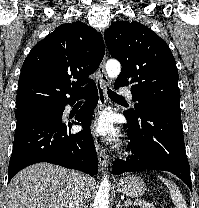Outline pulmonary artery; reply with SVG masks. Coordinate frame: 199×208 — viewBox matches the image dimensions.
<instances>
[{
	"label": "pulmonary artery",
	"mask_w": 199,
	"mask_h": 208,
	"mask_svg": "<svg viewBox=\"0 0 199 208\" xmlns=\"http://www.w3.org/2000/svg\"><path fill=\"white\" fill-rule=\"evenodd\" d=\"M119 92H120V94L122 95V97H128V98H130V99L133 98L132 93H131V90L128 89V88H121V89L119 90Z\"/></svg>",
	"instance_id": "1"
}]
</instances>
